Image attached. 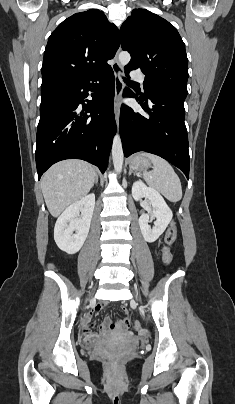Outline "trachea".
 Segmentation results:
<instances>
[{
	"label": "trachea",
	"mask_w": 235,
	"mask_h": 404,
	"mask_svg": "<svg viewBox=\"0 0 235 404\" xmlns=\"http://www.w3.org/2000/svg\"><path fill=\"white\" fill-rule=\"evenodd\" d=\"M123 79H124V81L127 82V83H133L132 81H130V80L126 79V78H123Z\"/></svg>",
	"instance_id": "obj_1"
}]
</instances>
